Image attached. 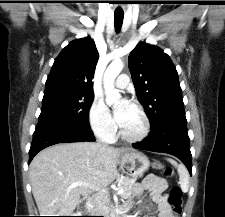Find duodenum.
<instances>
[{"mask_svg": "<svg viewBox=\"0 0 225 217\" xmlns=\"http://www.w3.org/2000/svg\"><path fill=\"white\" fill-rule=\"evenodd\" d=\"M84 212H86V209H84ZM116 217H126L123 213H119Z\"/></svg>", "mask_w": 225, "mask_h": 217, "instance_id": "duodenum-1", "label": "duodenum"}]
</instances>
